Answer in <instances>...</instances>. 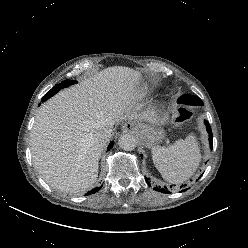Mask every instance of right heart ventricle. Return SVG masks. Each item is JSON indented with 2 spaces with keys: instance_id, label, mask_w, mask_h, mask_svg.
Instances as JSON below:
<instances>
[{
  "instance_id": "obj_1",
  "label": "right heart ventricle",
  "mask_w": 248,
  "mask_h": 248,
  "mask_svg": "<svg viewBox=\"0 0 248 248\" xmlns=\"http://www.w3.org/2000/svg\"><path fill=\"white\" fill-rule=\"evenodd\" d=\"M150 91L147 88H143L140 90V95L141 96H146L149 95Z\"/></svg>"
}]
</instances>
